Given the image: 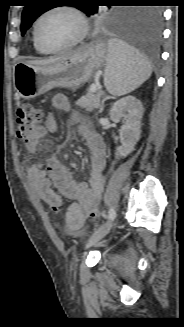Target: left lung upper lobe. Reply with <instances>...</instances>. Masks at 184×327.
I'll use <instances>...</instances> for the list:
<instances>
[{
    "label": "left lung upper lobe",
    "instance_id": "left-lung-upper-lobe-1",
    "mask_svg": "<svg viewBox=\"0 0 184 327\" xmlns=\"http://www.w3.org/2000/svg\"><path fill=\"white\" fill-rule=\"evenodd\" d=\"M83 3L89 2L83 1ZM51 6L52 1L49 0H29L22 13L21 35L23 36L36 18L49 10ZM79 9L88 17H94L101 26L115 29L126 27L135 20L138 14V10L135 9H109L106 12H100L98 6L91 4H82Z\"/></svg>",
    "mask_w": 184,
    "mask_h": 327
}]
</instances>
